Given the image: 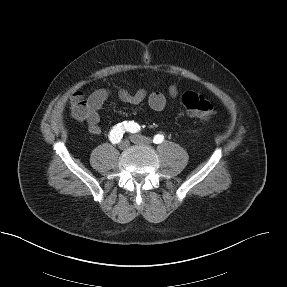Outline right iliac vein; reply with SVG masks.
<instances>
[{
	"instance_id": "right-iliac-vein-1",
	"label": "right iliac vein",
	"mask_w": 287,
	"mask_h": 287,
	"mask_svg": "<svg viewBox=\"0 0 287 287\" xmlns=\"http://www.w3.org/2000/svg\"><path fill=\"white\" fill-rule=\"evenodd\" d=\"M130 143L128 140H123L120 144H119V148L121 150H125L129 147Z\"/></svg>"
}]
</instances>
